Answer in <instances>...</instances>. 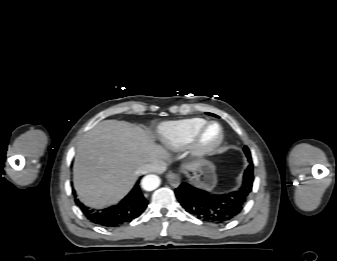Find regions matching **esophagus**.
I'll return each instance as SVG.
<instances>
[{"mask_svg": "<svg viewBox=\"0 0 337 261\" xmlns=\"http://www.w3.org/2000/svg\"><path fill=\"white\" fill-rule=\"evenodd\" d=\"M167 181L174 188H177L180 185L179 175L173 172L167 174Z\"/></svg>", "mask_w": 337, "mask_h": 261, "instance_id": "esophagus-1", "label": "esophagus"}]
</instances>
